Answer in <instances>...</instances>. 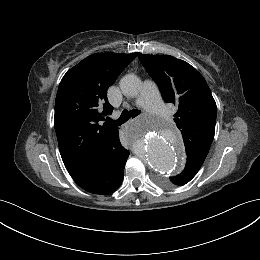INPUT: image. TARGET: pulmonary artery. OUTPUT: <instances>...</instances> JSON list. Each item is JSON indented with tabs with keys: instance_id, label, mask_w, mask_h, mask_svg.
<instances>
[{
	"instance_id": "pulmonary-artery-1",
	"label": "pulmonary artery",
	"mask_w": 260,
	"mask_h": 260,
	"mask_svg": "<svg viewBox=\"0 0 260 260\" xmlns=\"http://www.w3.org/2000/svg\"><path fill=\"white\" fill-rule=\"evenodd\" d=\"M137 104L144 107L151 114L162 118H169V114L160 100L157 87L155 83L150 80L144 81Z\"/></svg>"
}]
</instances>
